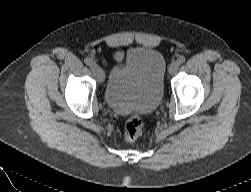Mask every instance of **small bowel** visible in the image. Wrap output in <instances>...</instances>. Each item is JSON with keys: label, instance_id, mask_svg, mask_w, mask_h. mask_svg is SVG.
<instances>
[{"label": "small bowel", "instance_id": "1", "mask_svg": "<svg viewBox=\"0 0 251 192\" xmlns=\"http://www.w3.org/2000/svg\"><path fill=\"white\" fill-rule=\"evenodd\" d=\"M115 60L118 62V63H122V60H123V53L118 51L115 53Z\"/></svg>", "mask_w": 251, "mask_h": 192}]
</instances>
